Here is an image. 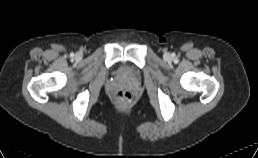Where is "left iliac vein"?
Segmentation results:
<instances>
[{
  "instance_id": "obj_1",
  "label": "left iliac vein",
  "mask_w": 258,
  "mask_h": 158,
  "mask_svg": "<svg viewBox=\"0 0 258 158\" xmlns=\"http://www.w3.org/2000/svg\"><path fill=\"white\" fill-rule=\"evenodd\" d=\"M164 58H165V59H170V54H169L168 52H165V53H164Z\"/></svg>"
}]
</instances>
